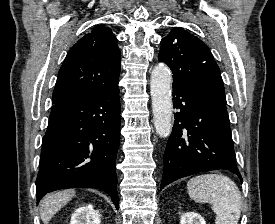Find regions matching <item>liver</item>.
<instances>
[{"label":"liver","mask_w":275,"mask_h":224,"mask_svg":"<svg viewBox=\"0 0 275 224\" xmlns=\"http://www.w3.org/2000/svg\"><path fill=\"white\" fill-rule=\"evenodd\" d=\"M74 196V190H64L44 197L40 202V217L42 222L48 224L50 219Z\"/></svg>","instance_id":"6515ba94"}]
</instances>
